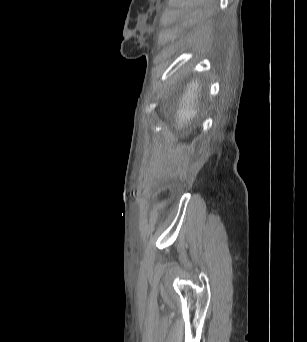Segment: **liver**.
Returning <instances> with one entry per match:
<instances>
[{"instance_id": "6515ba94", "label": "liver", "mask_w": 307, "mask_h": 342, "mask_svg": "<svg viewBox=\"0 0 307 342\" xmlns=\"http://www.w3.org/2000/svg\"><path fill=\"white\" fill-rule=\"evenodd\" d=\"M199 92H201L200 80H193V82L187 84L185 94H183L179 104V110L176 112V122L179 128H183L184 124H188L190 120L197 116L195 108L198 104Z\"/></svg>"}]
</instances>
